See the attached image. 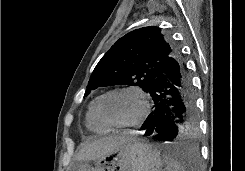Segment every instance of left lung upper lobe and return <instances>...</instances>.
Returning <instances> with one entry per match:
<instances>
[{"label":"left lung upper lobe","instance_id":"left-lung-upper-lobe-1","mask_svg":"<svg viewBox=\"0 0 245 171\" xmlns=\"http://www.w3.org/2000/svg\"><path fill=\"white\" fill-rule=\"evenodd\" d=\"M177 48L161 28L148 26L121 37L102 57L88 82L85 96L101 86L134 85L150 90L165 61Z\"/></svg>","mask_w":245,"mask_h":171}]
</instances>
